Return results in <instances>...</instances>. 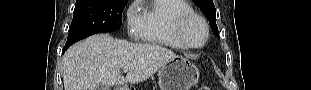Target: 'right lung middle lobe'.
Returning <instances> with one entry per match:
<instances>
[{"label": "right lung middle lobe", "mask_w": 311, "mask_h": 90, "mask_svg": "<svg viewBox=\"0 0 311 90\" xmlns=\"http://www.w3.org/2000/svg\"><path fill=\"white\" fill-rule=\"evenodd\" d=\"M127 0H77L66 45L92 34L118 30Z\"/></svg>", "instance_id": "dd1d6c3e"}]
</instances>
